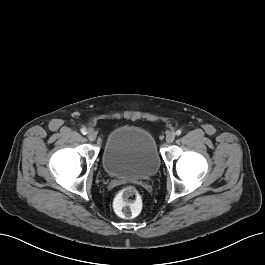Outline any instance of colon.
Instances as JSON below:
<instances>
[{
	"mask_svg": "<svg viewBox=\"0 0 265 265\" xmlns=\"http://www.w3.org/2000/svg\"><path fill=\"white\" fill-rule=\"evenodd\" d=\"M114 207L122 217L132 218L136 216L141 208L139 192L131 186L122 188L114 200Z\"/></svg>",
	"mask_w": 265,
	"mask_h": 265,
	"instance_id": "5ec220e1",
	"label": "colon"
}]
</instances>
